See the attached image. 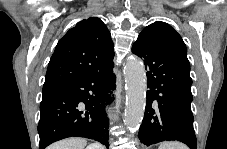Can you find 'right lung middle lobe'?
I'll list each match as a JSON object with an SVG mask.
<instances>
[{"mask_svg":"<svg viewBox=\"0 0 227 149\" xmlns=\"http://www.w3.org/2000/svg\"><path fill=\"white\" fill-rule=\"evenodd\" d=\"M51 91V89H43V96H45L46 94H48Z\"/></svg>","mask_w":227,"mask_h":149,"instance_id":"1","label":"right lung middle lobe"}]
</instances>
